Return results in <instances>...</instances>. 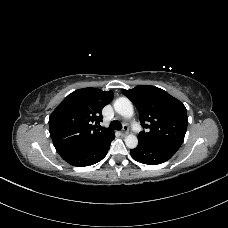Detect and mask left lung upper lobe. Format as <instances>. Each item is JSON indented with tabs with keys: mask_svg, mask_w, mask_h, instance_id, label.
Returning <instances> with one entry per match:
<instances>
[{
	"mask_svg": "<svg viewBox=\"0 0 228 228\" xmlns=\"http://www.w3.org/2000/svg\"><path fill=\"white\" fill-rule=\"evenodd\" d=\"M122 92L134 103L140 122L147 129L139 133V142L180 148L188 125L182 102L155 86L139 85Z\"/></svg>",
	"mask_w": 228,
	"mask_h": 228,
	"instance_id": "5c2ea615",
	"label": "left lung upper lobe"
}]
</instances>
